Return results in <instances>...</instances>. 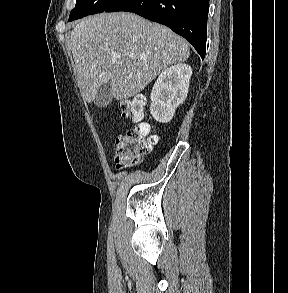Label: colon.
Instances as JSON below:
<instances>
[{"instance_id":"1","label":"colon","mask_w":288,"mask_h":293,"mask_svg":"<svg viewBox=\"0 0 288 293\" xmlns=\"http://www.w3.org/2000/svg\"><path fill=\"white\" fill-rule=\"evenodd\" d=\"M145 101L136 96L120 104L123 118L135 123L126 134L116 140L115 162L118 169L137 164L156 143L157 136L152 134L148 123L143 121Z\"/></svg>"}]
</instances>
